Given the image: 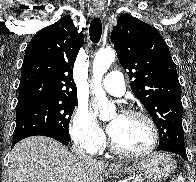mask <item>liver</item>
Returning <instances> with one entry per match:
<instances>
[{"instance_id":"1","label":"liver","mask_w":196,"mask_h":182,"mask_svg":"<svg viewBox=\"0 0 196 182\" xmlns=\"http://www.w3.org/2000/svg\"><path fill=\"white\" fill-rule=\"evenodd\" d=\"M107 166L73 155L52 138L32 136L12 149L8 182H103Z\"/></svg>"}]
</instances>
